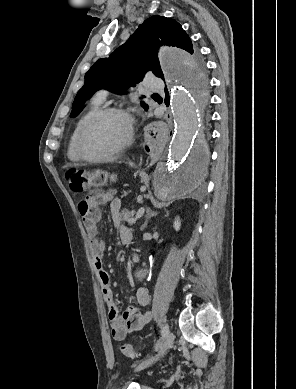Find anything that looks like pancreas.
<instances>
[{
  "label": "pancreas",
  "instance_id": "obj_1",
  "mask_svg": "<svg viewBox=\"0 0 296 389\" xmlns=\"http://www.w3.org/2000/svg\"><path fill=\"white\" fill-rule=\"evenodd\" d=\"M135 211L134 210H128V209H123L121 214H120V220L121 221H126L129 225H133L136 223L137 219L134 217Z\"/></svg>",
  "mask_w": 296,
  "mask_h": 389
}]
</instances>
